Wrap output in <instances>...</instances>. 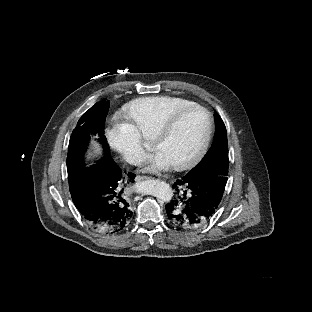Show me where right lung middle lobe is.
Listing matches in <instances>:
<instances>
[{
    "mask_svg": "<svg viewBox=\"0 0 312 312\" xmlns=\"http://www.w3.org/2000/svg\"><path fill=\"white\" fill-rule=\"evenodd\" d=\"M108 110V101L103 103L97 102L79 119L69 141L67 155L68 178L78 172V168L83 165V156L89 143L90 135L99 137L96 140L103 145V159L109 158V148L104 136V125Z\"/></svg>",
    "mask_w": 312,
    "mask_h": 312,
    "instance_id": "obj_1",
    "label": "right lung middle lobe"
}]
</instances>
